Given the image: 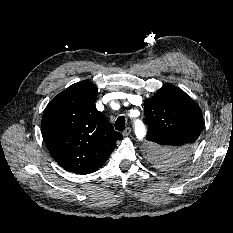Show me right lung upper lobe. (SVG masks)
<instances>
[{
  "instance_id": "1",
  "label": "right lung upper lobe",
  "mask_w": 233,
  "mask_h": 233,
  "mask_svg": "<svg viewBox=\"0 0 233 233\" xmlns=\"http://www.w3.org/2000/svg\"><path fill=\"white\" fill-rule=\"evenodd\" d=\"M96 98L95 85L84 80L55 96L43 113L41 132L51 156L76 174L98 170L123 139L96 109Z\"/></svg>"
}]
</instances>
